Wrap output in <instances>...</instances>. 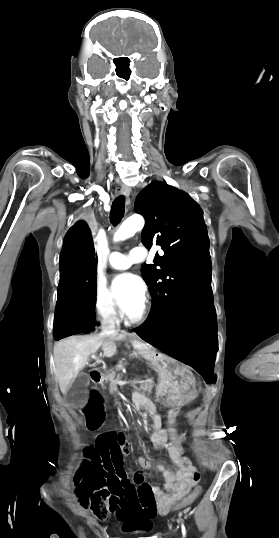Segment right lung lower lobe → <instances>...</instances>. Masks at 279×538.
<instances>
[{"label":"right lung lower lobe","instance_id":"right-lung-lower-lobe-1","mask_svg":"<svg viewBox=\"0 0 279 538\" xmlns=\"http://www.w3.org/2000/svg\"><path fill=\"white\" fill-rule=\"evenodd\" d=\"M55 340L95 329L96 263L91 231L80 221L66 233L60 254Z\"/></svg>","mask_w":279,"mask_h":538}]
</instances>
